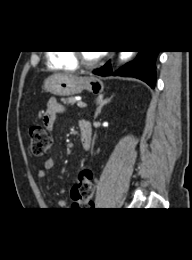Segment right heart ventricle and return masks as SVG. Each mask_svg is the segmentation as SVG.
<instances>
[{
	"instance_id": "e07e8e85",
	"label": "right heart ventricle",
	"mask_w": 192,
	"mask_h": 260,
	"mask_svg": "<svg viewBox=\"0 0 192 260\" xmlns=\"http://www.w3.org/2000/svg\"><path fill=\"white\" fill-rule=\"evenodd\" d=\"M48 64L51 68L57 70L74 71L78 68V63L71 51L50 53L48 56Z\"/></svg>"
}]
</instances>
